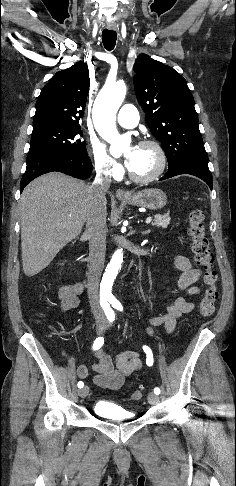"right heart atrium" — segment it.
Listing matches in <instances>:
<instances>
[{"instance_id": "d8ad5b80", "label": "right heart atrium", "mask_w": 236, "mask_h": 486, "mask_svg": "<svg viewBox=\"0 0 236 486\" xmlns=\"http://www.w3.org/2000/svg\"><path fill=\"white\" fill-rule=\"evenodd\" d=\"M89 154L97 173L106 177H117L120 174L121 166L101 143L92 141L89 145Z\"/></svg>"}]
</instances>
